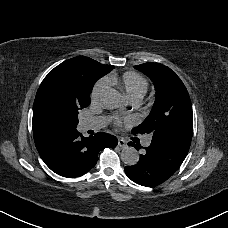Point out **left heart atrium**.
<instances>
[{"label": "left heart atrium", "mask_w": 228, "mask_h": 228, "mask_svg": "<svg viewBox=\"0 0 228 228\" xmlns=\"http://www.w3.org/2000/svg\"><path fill=\"white\" fill-rule=\"evenodd\" d=\"M121 123H122V120L119 118H117L113 121L114 126H119V125H121Z\"/></svg>", "instance_id": "39dd6f15"}]
</instances>
